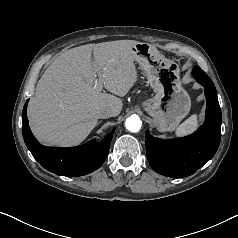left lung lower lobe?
<instances>
[{"mask_svg":"<svg viewBox=\"0 0 238 238\" xmlns=\"http://www.w3.org/2000/svg\"><path fill=\"white\" fill-rule=\"evenodd\" d=\"M195 79L204 86L207 99L206 119L194 134L163 141L146 132V153L150 166L159 174L180 178L192 175L216 153L221 138V110L211 79L199 67Z\"/></svg>","mask_w":238,"mask_h":238,"instance_id":"1","label":"left lung lower lobe"}]
</instances>
